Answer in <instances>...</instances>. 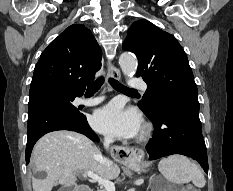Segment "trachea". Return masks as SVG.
<instances>
[{"label":"trachea","instance_id":"1","mask_svg":"<svg viewBox=\"0 0 233 191\" xmlns=\"http://www.w3.org/2000/svg\"><path fill=\"white\" fill-rule=\"evenodd\" d=\"M109 81H110V84L112 85V87L114 89L118 90V91L136 92V90L128 88V87L122 85L120 82H118L117 80H115L113 78H110ZM103 82H104L103 77H100L96 81L89 83L88 86H87L86 93H91V94L96 93L100 89Z\"/></svg>","mask_w":233,"mask_h":191}]
</instances>
